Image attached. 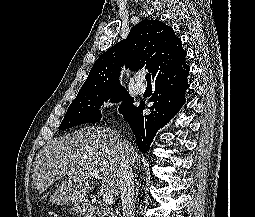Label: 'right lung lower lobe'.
<instances>
[{
	"label": "right lung lower lobe",
	"mask_w": 255,
	"mask_h": 217,
	"mask_svg": "<svg viewBox=\"0 0 255 217\" xmlns=\"http://www.w3.org/2000/svg\"><path fill=\"white\" fill-rule=\"evenodd\" d=\"M189 66L185 59L155 79V93L151 99V113L143 116L145 103L141 102L130 113L124 115L135 137L139 150L143 153L149 151L156 132L173 118L185 102V91L188 89L187 76Z\"/></svg>",
	"instance_id": "right-lung-lower-lobe-1"
}]
</instances>
